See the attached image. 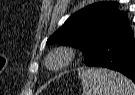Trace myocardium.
Returning a JSON list of instances; mask_svg holds the SVG:
<instances>
[{
	"label": "myocardium",
	"instance_id": "f54148a6",
	"mask_svg": "<svg viewBox=\"0 0 135 95\" xmlns=\"http://www.w3.org/2000/svg\"><path fill=\"white\" fill-rule=\"evenodd\" d=\"M76 56V52L72 47L62 46L55 48L47 56L45 65L50 70H59L70 64ZM54 59H59L57 64H52Z\"/></svg>",
	"mask_w": 135,
	"mask_h": 95
}]
</instances>
